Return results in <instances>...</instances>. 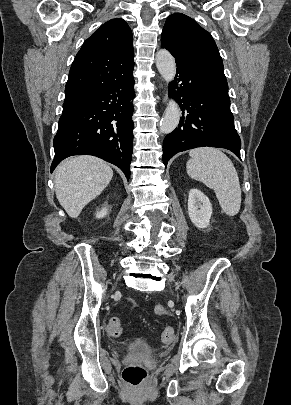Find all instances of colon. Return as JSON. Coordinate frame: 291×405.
I'll use <instances>...</instances> for the list:
<instances>
[{"label": "colon", "instance_id": "1", "mask_svg": "<svg viewBox=\"0 0 291 405\" xmlns=\"http://www.w3.org/2000/svg\"><path fill=\"white\" fill-rule=\"evenodd\" d=\"M155 313L159 316H163L167 314L166 309L161 306L157 305L154 309ZM123 328L121 322L118 318H113L110 320L108 325V332L112 337H118L122 334ZM175 339V332L174 329L171 327H167L163 330L161 335V340L165 344H169L173 342ZM147 371L145 367L140 363H133L128 365L122 372L123 380L133 386L140 385L146 378Z\"/></svg>", "mask_w": 291, "mask_h": 405}]
</instances>
